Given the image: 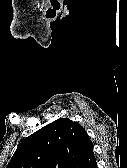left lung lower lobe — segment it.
<instances>
[{
  "label": "left lung lower lobe",
  "instance_id": "left-lung-lower-lobe-1",
  "mask_svg": "<svg viewBox=\"0 0 127 168\" xmlns=\"http://www.w3.org/2000/svg\"><path fill=\"white\" fill-rule=\"evenodd\" d=\"M76 168H97L93 145L90 139H88L81 151Z\"/></svg>",
  "mask_w": 127,
  "mask_h": 168
}]
</instances>
